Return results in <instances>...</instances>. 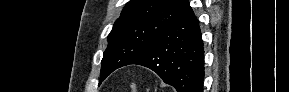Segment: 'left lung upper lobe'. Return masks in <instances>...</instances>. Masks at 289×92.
<instances>
[{
    "label": "left lung upper lobe",
    "instance_id": "obj_1",
    "mask_svg": "<svg viewBox=\"0 0 289 92\" xmlns=\"http://www.w3.org/2000/svg\"><path fill=\"white\" fill-rule=\"evenodd\" d=\"M188 7V0H130L108 35L100 81L142 53Z\"/></svg>",
    "mask_w": 289,
    "mask_h": 92
}]
</instances>
